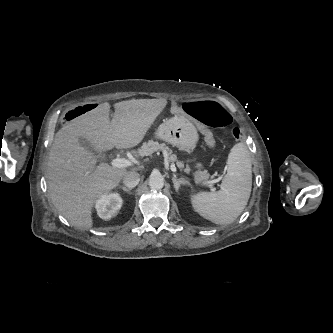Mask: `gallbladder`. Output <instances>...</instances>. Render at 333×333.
<instances>
[{
	"label": "gallbladder",
	"mask_w": 333,
	"mask_h": 333,
	"mask_svg": "<svg viewBox=\"0 0 333 333\" xmlns=\"http://www.w3.org/2000/svg\"><path fill=\"white\" fill-rule=\"evenodd\" d=\"M79 143L88 151L92 152L94 155H96L98 158H102V154L100 151L96 150L92 144L84 137L79 138Z\"/></svg>",
	"instance_id": "1"
}]
</instances>
